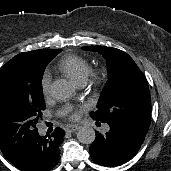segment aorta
I'll return each instance as SVG.
<instances>
[{"mask_svg":"<svg viewBox=\"0 0 171 171\" xmlns=\"http://www.w3.org/2000/svg\"><path fill=\"white\" fill-rule=\"evenodd\" d=\"M74 91V84L66 79H58L51 84V94L57 100L70 98ZM95 137V130L90 126H82L77 131V139L83 144H92Z\"/></svg>","mask_w":171,"mask_h":171,"instance_id":"762f6f07","label":"aorta"}]
</instances>
